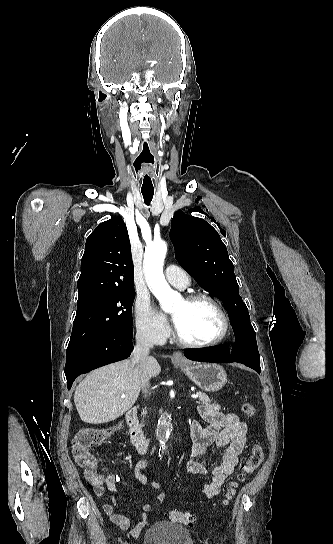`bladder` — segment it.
<instances>
[{
	"instance_id": "obj_1",
	"label": "bladder",
	"mask_w": 333,
	"mask_h": 544,
	"mask_svg": "<svg viewBox=\"0 0 333 544\" xmlns=\"http://www.w3.org/2000/svg\"><path fill=\"white\" fill-rule=\"evenodd\" d=\"M142 544H193V540L187 528L160 521L146 529Z\"/></svg>"
}]
</instances>
